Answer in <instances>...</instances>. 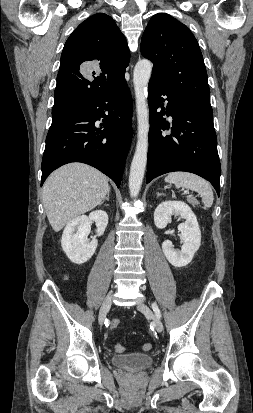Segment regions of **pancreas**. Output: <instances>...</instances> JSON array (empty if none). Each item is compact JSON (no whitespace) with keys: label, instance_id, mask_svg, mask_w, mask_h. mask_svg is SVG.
<instances>
[{"label":"pancreas","instance_id":"pancreas-1","mask_svg":"<svg viewBox=\"0 0 253 413\" xmlns=\"http://www.w3.org/2000/svg\"><path fill=\"white\" fill-rule=\"evenodd\" d=\"M187 201L192 204L193 206L198 205V201L193 197H188Z\"/></svg>","mask_w":253,"mask_h":413}]
</instances>
